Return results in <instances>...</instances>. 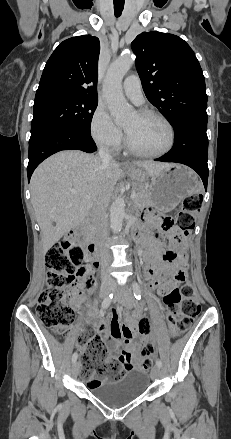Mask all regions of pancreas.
I'll list each match as a JSON object with an SVG mask.
<instances>
[{
  "instance_id": "cf45deb5",
  "label": "pancreas",
  "mask_w": 231,
  "mask_h": 439,
  "mask_svg": "<svg viewBox=\"0 0 231 439\" xmlns=\"http://www.w3.org/2000/svg\"><path fill=\"white\" fill-rule=\"evenodd\" d=\"M136 194L137 197L134 198L133 201L135 208H139L151 204L150 193L147 190L138 188Z\"/></svg>"
}]
</instances>
